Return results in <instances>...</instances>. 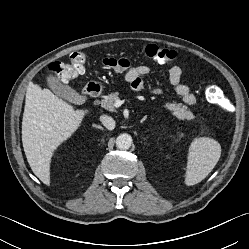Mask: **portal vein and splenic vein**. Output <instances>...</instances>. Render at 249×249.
<instances>
[{
	"label": "portal vein and splenic vein",
	"mask_w": 249,
	"mask_h": 249,
	"mask_svg": "<svg viewBox=\"0 0 249 249\" xmlns=\"http://www.w3.org/2000/svg\"><path fill=\"white\" fill-rule=\"evenodd\" d=\"M122 105V101L120 99L116 100L114 106L115 107H120Z\"/></svg>",
	"instance_id": "18ae733b"
}]
</instances>
